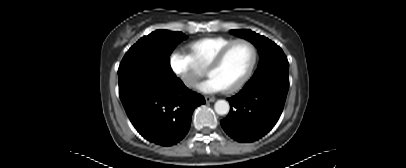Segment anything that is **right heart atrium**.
Listing matches in <instances>:
<instances>
[{
  "label": "right heart atrium",
  "mask_w": 406,
  "mask_h": 168,
  "mask_svg": "<svg viewBox=\"0 0 406 168\" xmlns=\"http://www.w3.org/2000/svg\"><path fill=\"white\" fill-rule=\"evenodd\" d=\"M170 67L187 87H193L204 74L192 57L182 50H174L169 57Z\"/></svg>",
  "instance_id": "right-heart-atrium-1"
}]
</instances>
